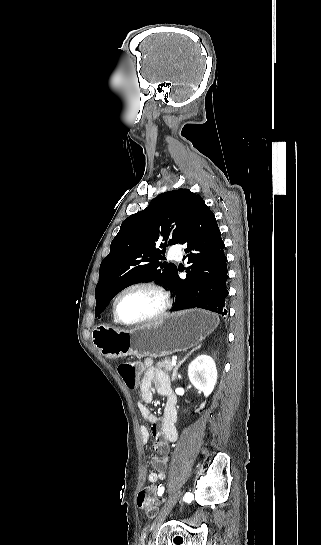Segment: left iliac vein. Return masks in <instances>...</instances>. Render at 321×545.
Returning a JSON list of instances; mask_svg holds the SVG:
<instances>
[{"instance_id": "obj_1", "label": "left iliac vein", "mask_w": 321, "mask_h": 545, "mask_svg": "<svg viewBox=\"0 0 321 545\" xmlns=\"http://www.w3.org/2000/svg\"><path fill=\"white\" fill-rule=\"evenodd\" d=\"M180 495H181V490H178V491L174 492L170 496L167 503L164 505V507L162 508L160 514L158 515V517L156 518V520L154 521V523L152 525V531H153L154 534L157 533L159 527L161 526V524L165 520L167 514L171 511V509L173 508V506L175 505V503L179 499Z\"/></svg>"}]
</instances>
